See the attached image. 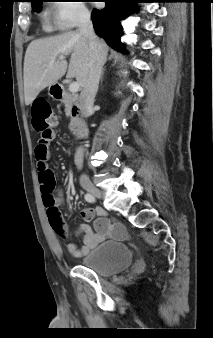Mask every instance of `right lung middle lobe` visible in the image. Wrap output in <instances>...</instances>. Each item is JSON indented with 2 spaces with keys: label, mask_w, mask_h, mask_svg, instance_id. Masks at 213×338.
<instances>
[{
  "label": "right lung middle lobe",
  "mask_w": 213,
  "mask_h": 338,
  "mask_svg": "<svg viewBox=\"0 0 213 338\" xmlns=\"http://www.w3.org/2000/svg\"><path fill=\"white\" fill-rule=\"evenodd\" d=\"M32 8L34 11H39L41 9V4L44 0H30Z\"/></svg>",
  "instance_id": "right-lung-middle-lobe-1"
}]
</instances>
